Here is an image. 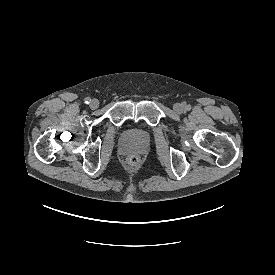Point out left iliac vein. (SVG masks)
<instances>
[{
	"label": "left iliac vein",
	"mask_w": 275,
	"mask_h": 275,
	"mask_svg": "<svg viewBox=\"0 0 275 275\" xmlns=\"http://www.w3.org/2000/svg\"><path fill=\"white\" fill-rule=\"evenodd\" d=\"M173 109H174V111L175 112H177V113H182L183 112V106L180 104V103H175L174 105H173Z\"/></svg>",
	"instance_id": "left-iliac-vein-1"
}]
</instances>
